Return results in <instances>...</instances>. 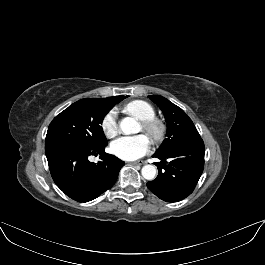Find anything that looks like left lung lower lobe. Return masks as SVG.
<instances>
[{
    "mask_svg": "<svg viewBox=\"0 0 265 265\" xmlns=\"http://www.w3.org/2000/svg\"><path fill=\"white\" fill-rule=\"evenodd\" d=\"M205 146L202 139L177 146L166 153H155L159 158L158 176L147 183L156 196L166 202H177L189 196L204 169Z\"/></svg>",
    "mask_w": 265,
    "mask_h": 265,
    "instance_id": "left-lung-lower-lobe-1",
    "label": "left lung lower lobe"
}]
</instances>
